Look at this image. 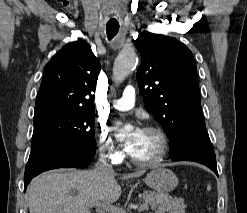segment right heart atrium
<instances>
[{
	"mask_svg": "<svg viewBox=\"0 0 247 213\" xmlns=\"http://www.w3.org/2000/svg\"><path fill=\"white\" fill-rule=\"evenodd\" d=\"M97 150L99 155L112 164H118L123 159V153L117 148L109 130L101 125L96 132Z\"/></svg>",
	"mask_w": 247,
	"mask_h": 213,
	"instance_id": "obj_1",
	"label": "right heart atrium"
}]
</instances>
